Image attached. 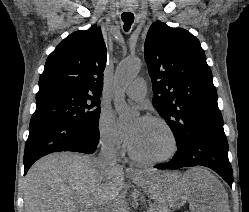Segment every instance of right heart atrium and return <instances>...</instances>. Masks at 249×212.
<instances>
[{
  "instance_id": "obj_1",
  "label": "right heart atrium",
  "mask_w": 249,
  "mask_h": 212,
  "mask_svg": "<svg viewBox=\"0 0 249 212\" xmlns=\"http://www.w3.org/2000/svg\"><path fill=\"white\" fill-rule=\"evenodd\" d=\"M97 135L101 145L112 155L121 157L126 152L123 136L118 129L113 114L102 109L97 120Z\"/></svg>"
}]
</instances>
